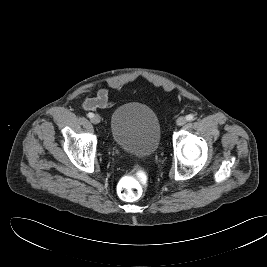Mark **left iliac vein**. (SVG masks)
<instances>
[{
	"label": "left iliac vein",
	"instance_id": "obj_1",
	"mask_svg": "<svg viewBox=\"0 0 267 267\" xmlns=\"http://www.w3.org/2000/svg\"><path fill=\"white\" fill-rule=\"evenodd\" d=\"M186 122H187V119L184 116H181L176 120V124L178 126H183L184 124H186Z\"/></svg>",
	"mask_w": 267,
	"mask_h": 267
}]
</instances>
